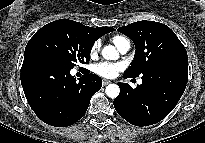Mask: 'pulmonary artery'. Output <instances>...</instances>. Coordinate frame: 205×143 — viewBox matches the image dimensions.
I'll use <instances>...</instances> for the list:
<instances>
[{
	"instance_id": "obj_1",
	"label": "pulmonary artery",
	"mask_w": 205,
	"mask_h": 143,
	"mask_svg": "<svg viewBox=\"0 0 205 143\" xmlns=\"http://www.w3.org/2000/svg\"><path fill=\"white\" fill-rule=\"evenodd\" d=\"M131 48V44H130V41L129 40H124L123 42H121L119 44V46L117 47L118 51L121 53V54H126ZM138 83L141 84L142 83V80L139 79L138 80Z\"/></svg>"
}]
</instances>
